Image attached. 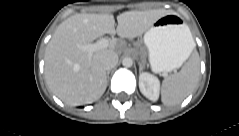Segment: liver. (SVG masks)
Instances as JSON below:
<instances>
[{
    "label": "liver",
    "mask_w": 239,
    "mask_h": 136,
    "mask_svg": "<svg viewBox=\"0 0 239 136\" xmlns=\"http://www.w3.org/2000/svg\"><path fill=\"white\" fill-rule=\"evenodd\" d=\"M170 10L127 11L117 16L115 29L111 14H76L64 20L54 32L45 51V79L50 90L68 105H83L98 100L107 87L101 57L116 53L117 40L96 50L91 57L80 46L105 35L117 34L133 39L141 36Z\"/></svg>",
    "instance_id": "6515ba94"
}]
</instances>
